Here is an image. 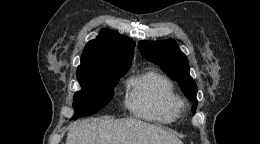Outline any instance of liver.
Here are the masks:
<instances>
[{
  "label": "liver",
  "instance_id": "obj_1",
  "mask_svg": "<svg viewBox=\"0 0 260 144\" xmlns=\"http://www.w3.org/2000/svg\"><path fill=\"white\" fill-rule=\"evenodd\" d=\"M66 144H183L173 133L139 119L74 122Z\"/></svg>",
  "mask_w": 260,
  "mask_h": 144
}]
</instances>
